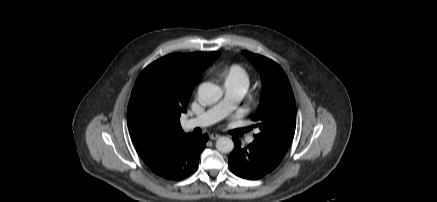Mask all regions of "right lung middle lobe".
<instances>
[{
	"label": "right lung middle lobe",
	"instance_id": "dd1d6c3e",
	"mask_svg": "<svg viewBox=\"0 0 437 202\" xmlns=\"http://www.w3.org/2000/svg\"><path fill=\"white\" fill-rule=\"evenodd\" d=\"M167 69L163 66L145 68L137 78L128 105V111L149 118H160L167 113L163 86Z\"/></svg>",
	"mask_w": 437,
	"mask_h": 202
}]
</instances>
